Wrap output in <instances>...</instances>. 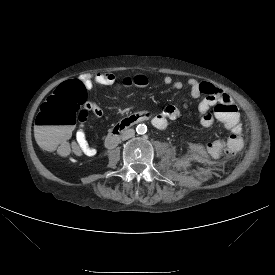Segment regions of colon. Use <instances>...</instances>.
Segmentation results:
<instances>
[{"label":"colon","instance_id":"obj_1","mask_svg":"<svg viewBox=\"0 0 275 275\" xmlns=\"http://www.w3.org/2000/svg\"><path fill=\"white\" fill-rule=\"evenodd\" d=\"M149 84L148 75L141 73L136 77H125L123 83H114L112 91L116 95H121L125 88L133 89L136 85L146 88ZM87 98L88 89L80 80L60 84L47 98L36 118V138L43 149H58L61 153L77 150L70 145L67 138L77 121L85 122L88 116L85 107ZM215 115L222 127L229 130L238 127L243 119L236 105L229 101L218 103Z\"/></svg>","mask_w":275,"mask_h":275}]
</instances>
